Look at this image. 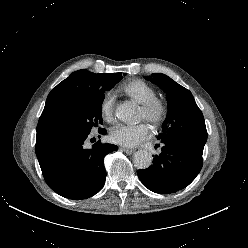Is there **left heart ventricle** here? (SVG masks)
<instances>
[{"instance_id":"1","label":"left heart ventricle","mask_w":248,"mask_h":248,"mask_svg":"<svg viewBox=\"0 0 248 248\" xmlns=\"http://www.w3.org/2000/svg\"><path fill=\"white\" fill-rule=\"evenodd\" d=\"M139 117H140L141 119H144V114H143V112H142L141 109H139Z\"/></svg>"}]
</instances>
